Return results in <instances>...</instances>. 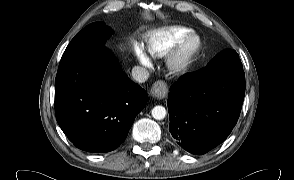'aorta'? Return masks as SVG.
<instances>
[{
  "mask_svg": "<svg viewBox=\"0 0 294 180\" xmlns=\"http://www.w3.org/2000/svg\"><path fill=\"white\" fill-rule=\"evenodd\" d=\"M166 114V109L163 106L158 105L152 109V117L156 120L164 119Z\"/></svg>",
  "mask_w": 294,
  "mask_h": 180,
  "instance_id": "1",
  "label": "aorta"
}]
</instances>
